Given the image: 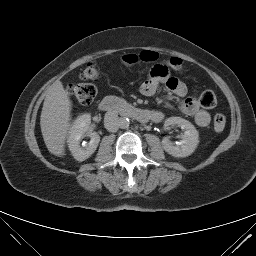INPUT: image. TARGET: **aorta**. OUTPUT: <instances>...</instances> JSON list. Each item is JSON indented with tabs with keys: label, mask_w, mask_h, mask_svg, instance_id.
Listing matches in <instances>:
<instances>
[{
	"label": "aorta",
	"mask_w": 256,
	"mask_h": 256,
	"mask_svg": "<svg viewBox=\"0 0 256 256\" xmlns=\"http://www.w3.org/2000/svg\"><path fill=\"white\" fill-rule=\"evenodd\" d=\"M130 125V119L128 117L120 118V128L126 129Z\"/></svg>",
	"instance_id": "762f6f07"
}]
</instances>
